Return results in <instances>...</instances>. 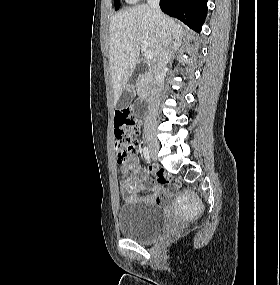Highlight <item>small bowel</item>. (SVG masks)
Instances as JSON below:
<instances>
[{
  "label": "small bowel",
  "instance_id": "small-bowel-1",
  "mask_svg": "<svg viewBox=\"0 0 280 285\" xmlns=\"http://www.w3.org/2000/svg\"><path fill=\"white\" fill-rule=\"evenodd\" d=\"M121 170L125 176L131 172L137 175L132 179H125L122 182V190L125 199L133 200L138 198V192L144 191L146 189V185L152 183L148 176L141 173L139 160L135 156L127 158L122 163ZM149 170L156 174V170L154 168L150 167ZM144 200L151 203L154 202L162 204L164 202L163 188L161 186H157L155 192L146 196Z\"/></svg>",
  "mask_w": 280,
  "mask_h": 285
}]
</instances>
